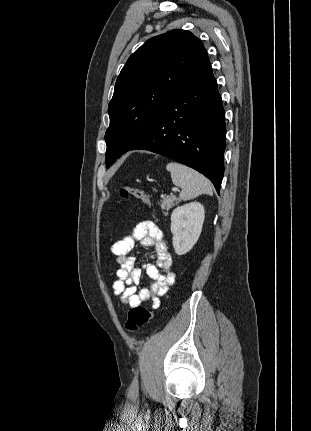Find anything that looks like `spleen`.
<instances>
[{"mask_svg": "<svg viewBox=\"0 0 311 431\" xmlns=\"http://www.w3.org/2000/svg\"><path fill=\"white\" fill-rule=\"evenodd\" d=\"M166 170L170 172L174 186L182 188L179 198L183 202L193 200V198H197L201 194L212 196V186L209 180L204 178L202 174H198V172L192 170V168H187V166H182V164H177V162H170L166 166Z\"/></svg>", "mask_w": 311, "mask_h": 431, "instance_id": "3e777b00", "label": "spleen"}]
</instances>
